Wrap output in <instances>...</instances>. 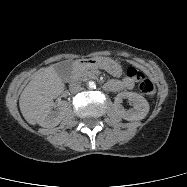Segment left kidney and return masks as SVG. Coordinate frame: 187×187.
Instances as JSON below:
<instances>
[{
    "label": "left kidney",
    "mask_w": 187,
    "mask_h": 187,
    "mask_svg": "<svg viewBox=\"0 0 187 187\" xmlns=\"http://www.w3.org/2000/svg\"><path fill=\"white\" fill-rule=\"evenodd\" d=\"M122 99H129L134 109L126 111L122 106ZM115 109L120 117L128 121L142 120L149 112V104L147 100L141 95L134 92H121L115 97Z\"/></svg>",
    "instance_id": "1"
}]
</instances>
